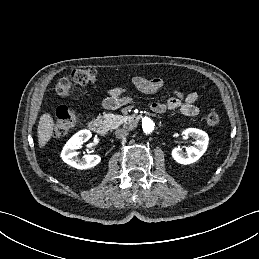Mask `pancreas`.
I'll return each mask as SVG.
<instances>
[{"instance_id":"cf45deb5","label":"pancreas","mask_w":259,"mask_h":259,"mask_svg":"<svg viewBox=\"0 0 259 259\" xmlns=\"http://www.w3.org/2000/svg\"><path fill=\"white\" fill-rule=\"evenodd\" d=\"M102 120L108 125L110 129H116L123 123L130 124L132 122V119H129L127 116L115 115L112 113H105L102 116Z\"/></svg>"}]
</instances>
